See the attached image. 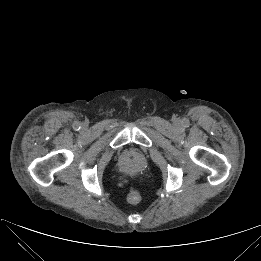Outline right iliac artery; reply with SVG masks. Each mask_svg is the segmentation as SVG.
Returning <instances> with one entry per match:
<instances>
[{"label":"right iliac artery","mask_w":261,"mask_h":261,"mask_svg":"<svg viewBox=\"0 0 261 261\" xmlns=\"http://www.w3.org/2000/svg\"><path fill=\"white\" fill-rule=\"evenodd\" d=\"M73 128H74L75 130H79V129H80V124H79V123H75L74 126H73Z\"/></svg>","instance_id":"1"}]
</instances>
